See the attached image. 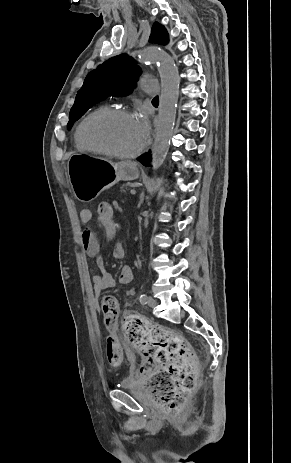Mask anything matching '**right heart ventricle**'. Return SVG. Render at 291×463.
I'll use <instances>...</instances> for the list:
<instances>
[{
  "mask_svg": "<svg viewBox=\"0 0 291 463\" xmlns=\"http://www.w3.org/2000/svg\"><path fill=\"white\" fill-rule=\"evenodd\" d=\"M109 109V106L108 105H101L97 108H95L94 110H92L91 112H89L86 116H84L80 122L78 123V125L76 126V129H75V133H74V141H75V145L77 147V149L81 150V151H88L90 150L89 148L86 147V145L83 143L82 139H81V136H80V130H81V127L83 125V123L85 122V120L90 117L91 115L95 114V113H98V112H103V111H106Z\"/></svg>",
  "mask_w": 291,
  "mask_h": 463,
  "instance_id": "right-heart-ventricle-1",
  "label": "right heart ventricle"
}]
</instances>
